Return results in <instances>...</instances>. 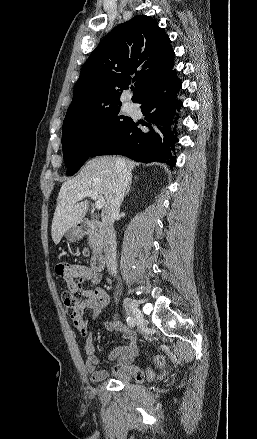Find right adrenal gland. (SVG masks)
<instances>
[{
	"label": "right adrenal gland",
	"instance_id": "1",
	"mask_svg": "<svg viewBox=\"0 0 257 439\" xmlns=\"http://www.w3.org/2000/svg\"><path fill=\"white\" fill-rule=\"evenodd\" d=\"M137 177H135V179H136ZM131 182L129 183V185H128V187H127V190H126V192H125V196H127L128 194H129V192H130V187H131Z\"/></svg>",
	"mask_w": 257,
	"mask_h": 439
}]
</instances>
